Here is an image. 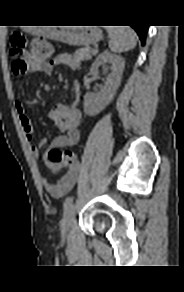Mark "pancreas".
I'll return each mask as SVG.
<instances>
[{"label": "pancreas", "mask_w": 184, "mask_h": 292, "mask_svg": "<svg viewBox=\"0 0 184 292\" xmlns=\"http://www.w3.org/2000/svg\"><path fill=\"white\" fill-rule=\"evenodd\" d=\"M95 54L96 53H93V49L86 46V47H82V48L78 49L77 51H75L74 59L77 61L89 60Z\"/></svg>", "instance_id": "pancreas-1"}]
</instances>
